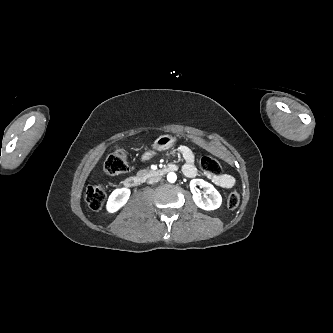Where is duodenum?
<instances>
[{
	"instance_id": "duodenum-1",
	"label": "duodenum",
	"mask_w": 333,
	"mask_h": 333,
	"mask_svg": "<svg viewBox=\"0 0 333 333\" xmlns=\"http://www.w3.org/2000/svg\"><path fill=\"white\" fill-rule=\"evenodd\" d=\"M177 169L176 165L171 164L166 167L158 168L156 170L151 171L152 177H161L166 175L169 172L175 171ZM144 181V177L140 175H132L128 176L124 180V185L129 188H134L140 186Z\"/></svg>"
}]
</instances>
